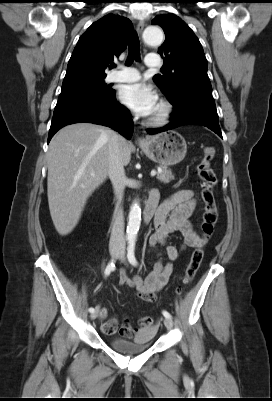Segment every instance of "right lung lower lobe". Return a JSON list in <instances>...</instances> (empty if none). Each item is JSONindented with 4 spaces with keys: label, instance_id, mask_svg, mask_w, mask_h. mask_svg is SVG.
Returning a JSON list of instances; mask_svg holds the SVG:
<instances>
[{
    "label": "right lung lower lobe",
    "instance_id": "right-lung-lower-lobe-1",
    "mask_svg": "<svg viewBox=\"0 0 272 401\" xmlns=\"http://www.w3.org/2000/svg\"><path fill=\"white\" fill-rule=\"evenodd\" d=\"M88 122L113 128L127 139L133 133V122L128 109L119 104L114 95L105 102H82L75 105L54 110L48 143L53 135L62 127Z\"/></svg>",
    "mask_w": 272,
    "mask_h": 401
}]
</instances>
